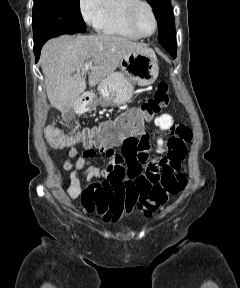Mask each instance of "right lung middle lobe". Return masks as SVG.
I'll return each instance as SVG.
<instances>
[{
	"label": "right lung middle lobe",
	"instance_id": "obj_1",
	"mask_svg": "<svg viewBox=\"0 0 240 288\" xmlns=\"http://www.w3.org/2000/svg\"><path fill=\"white\" fill-rule=\"evenodd\" d=\"M85 31L79 0H34V46L57 33Z\"/></svg>",
	"mask_w": 240,
	"mask_h": 288
}]
</instances>
